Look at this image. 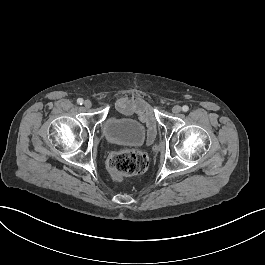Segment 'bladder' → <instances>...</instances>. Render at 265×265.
Here are the masks:
<instances>
[{"instance_id":"bladder-1","label":"bladder","mask_w":265,"mask_h":265,"mask_svg":"<svg viewBox=\"0 0 265 265\" xmlns=\"http://www.w3.org/2000/svg\"><path fill=\"white\" fill-rule=\"evenodd\" d=\"M107 141L121 145H140L146 136L144 126L133 119L119 116L107 118L103 125Z\"/></svg>"}]
</instances>
